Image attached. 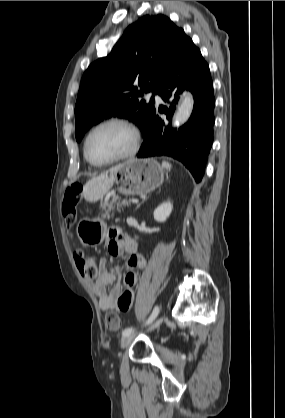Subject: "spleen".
<instances>
[{"label": "spleen", "mask_w": 285, "mask_h": 418, "mask_svg": "<svg viewBox=\"0 0 285 418\" xmlns=\"http://www.w3.org/2000/svg\"><path fill=\"white\" fill-rule=\"evenodd\" d=\"M162 167L166 168L167 170H170L171 169V164L168 163V162H162Z\"/></svg>", "instance_id": "3e777b00"}]
</instances>
